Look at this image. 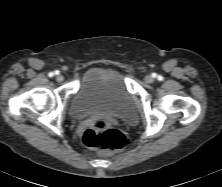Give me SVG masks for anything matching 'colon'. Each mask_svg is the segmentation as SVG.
Masks as SVG:
<instances>
[{
	"mask_svg": "<svg viewBox=\"0 0 222 187\" xmlns=\"http://www.w3.org/2000/svg\"><path fill=\"white\" fill-rule=\"evenodd\" d=\"M82 140L87 147L102 153L122 150L127 145L125 135L105 119H98L88 127Z\"/></svg>",
	"mask_w": 222,
	"mask_h": 187,
	"instance_id": "5ec220e1",
	"label": "colon"
}]
</instances>
